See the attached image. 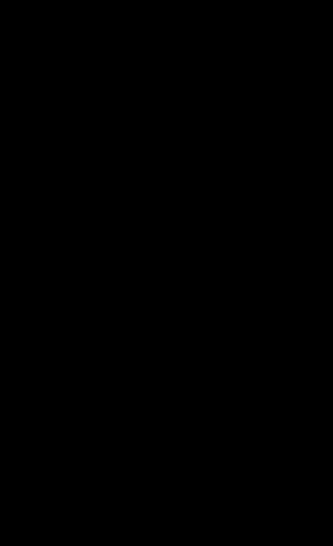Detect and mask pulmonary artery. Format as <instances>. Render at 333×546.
<instances>
[{
    "instance_id": "pulmonary-artery-1",
    "label": "pulmonary artery",
    "mask_w": 333,
    "mask_h": 546,
    "mask_svg": "<svg viewBox=\"0 0 333 546\" xmlns=\"http://www.w3.org/2000/svg\"><path fill=\"white\" fill-rule=\"evenodd\" d=\"M75 14H89V13H86V12H80V13H75Z\"/></svg>"
}]
</instances>
